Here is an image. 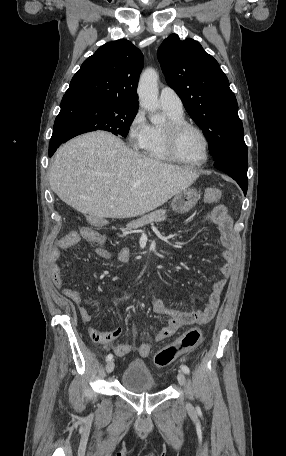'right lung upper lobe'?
<instances>
[{"label":"right lung upper lobe","instance_id":"cb5924a9","mask_svg":"<svg viewBox=\"0 0 286 456\" xmlns=\"http://www.w3.org/2000/svg\"><path fill=\"white\" fill-rule=\"evenodd\" d=\"M143 55L126 39L101 46L73 76L64 97H88L138 107Z\"/></svg>","mask_w":286,"mask_h":456}]
</instances>
